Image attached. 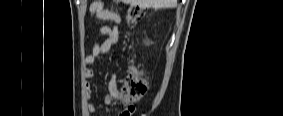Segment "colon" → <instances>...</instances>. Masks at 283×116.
Wrapping results in <instances>:
<instances>
[{"label": "colon", "instance_id": "obj_1", "mask_svg": "<svg viewBox=\"0 0 283 116\" xmlns=\"http://www.w3.org/2000/svg\"><path fill=\"white\" fill-rule=\"evenodd\" d=\"M124 14L128 23L139 22L144 10L136 4H131L124 9ZM146 80L144 78L143 70L138 66H131L129 73L125 79L124 86L120 93H118L122 102L129 104V106L121 113L122 116H130L134 112L132 103L139 100L146 92Z\"/></svg>", "mask_w": 283, "mask_h": 116}]
</instances>
